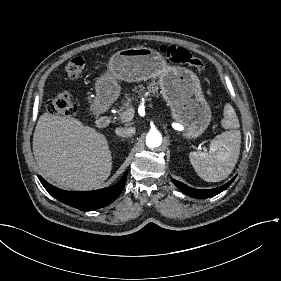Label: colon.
Wrapping results in <instances>:
<instances>
[{
    "label": "colon",
    "mask_w": 281,
    "mask_h": 281,
    "mask_svg": "<svg viewBox=\"0 0 281 281\" xmlns=\"http://www.w3.org/2000/svg\"><path fill=\"white\" fill-rule=\"evenodd\" d=\"M160 53L169 60L177 63H187L194 68L202 71L204 63L194 55L187 52L185 49L174 45H161ZM85 67V59L83 57H74L68 62L65 68L66 77L69 80H77L83 75ZM76 105L72 95L67 91L57 93L48 102V110L52 115L71 116L76 112Z\"/></svg>",
    "instance_id": "colon-1"
}]
</instances>
